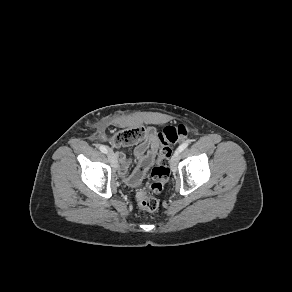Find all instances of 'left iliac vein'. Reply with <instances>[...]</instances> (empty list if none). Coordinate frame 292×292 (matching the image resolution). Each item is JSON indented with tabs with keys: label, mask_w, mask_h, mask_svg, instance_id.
I'll list each match as a JSON object with an SVG mask.
<instances>
[{
	"label": "left iliac vein",
	"mask_w": 292,
	"mask_h": 292,
	"mask_svg": "<svg viewBox=\"0 0 292 292\" xmlns=\"http://www.w3.org/2000/svg\"><path fill=\"white\" fill-rule=\"evenodd\" d=\"M179 154H176V151H175V153L173 154V156L171 158L170 165H171V170L173 172H175L177 170Z\"/></svg>",
	"instance_id": "obj_1"
}]
</instances>
